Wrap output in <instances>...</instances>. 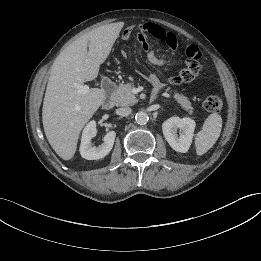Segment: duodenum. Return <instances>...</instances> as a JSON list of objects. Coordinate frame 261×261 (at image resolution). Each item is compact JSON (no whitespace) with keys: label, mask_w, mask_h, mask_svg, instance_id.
Here are the masks:
<instances>
[{"label":"duodenum","mask_w":261,"mask_h":261,"mask_svg":"<svg viewBox=\"0 0 261 261\" xmlns=\"http://www.w3.org/2000/svg\"><path fill=\"white\" fill-rule=\"evenodd\" d=\"M102 90L105 94V99L103 101V108L110 109L113 107L115 99H114V90L115 83L108 77H105L102 81ZM156 97V94L152 96V99Z\"/></svg>","instance_id":"obj_1"}]
</instances>
